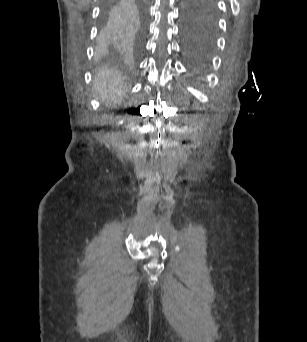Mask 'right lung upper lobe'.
Returning a JSON list of instances; mask_svg holds the SVG:
<instances>
[{
	"label": "right lung upper lobe",
	"mask_w": 307,
	"mask_h": 342,
	"mask_svg": "<svg viewBox=\"0 0 307 342\" xmlns=\"http://www.w3.org/2000/svg\"><path fill=\"white\" fill-rule=\"evenodd\" d=\"M108 5L123 11L135 22H139L145 7L144 0H113V2H109Z\"/></svg>",
	"instance_id": "cb5924a9"
}]
</instances>
